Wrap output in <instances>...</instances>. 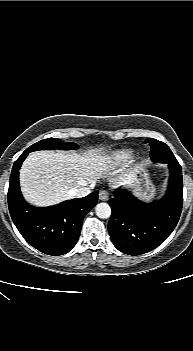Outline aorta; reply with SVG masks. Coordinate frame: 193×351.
<instances>
[{
    "label": "aorta",
    "instance_id": "obj_1",
    "mask_svg": "<svg viewBox=\"0 0 193 351\" xmlns=\"http://www.w3.org/2000/svg\"><path fill=\"white\" fill-rule=\"evenodd\" d=\"M97 217L107 219L111 216V207L107 203H98L95 207Z\"/></svg>",
    "mask_w": 193,
    "mask_h": 351
}]
</instances>
